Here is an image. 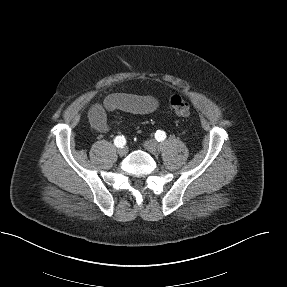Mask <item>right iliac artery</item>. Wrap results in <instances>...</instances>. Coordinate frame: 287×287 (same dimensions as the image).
Listing matches in <instances>:
<instances>
[{"label":"right iliac artery","mask_w":287,"mask_h":287,"mask_svg":"<svg viewBox=\"0 0 287 287\" xmlns=\"http://www.w3.org/2000/svg\"><path fill=\"white\" fill-rule=\"evenodd\" d=\"M114 144H115L117 147H123V146L126 144V139L124 138V136H117V137L114 139Z\"/></svg>","instance_id":"82829eb1"}]
</instances>
